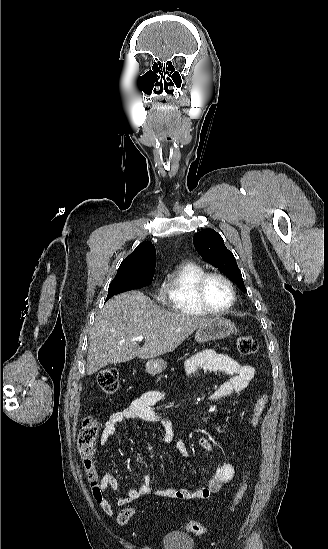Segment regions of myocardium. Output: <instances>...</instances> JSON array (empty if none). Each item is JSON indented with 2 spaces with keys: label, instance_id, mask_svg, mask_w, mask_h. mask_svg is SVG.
<instances>
[{
  "label": "myocardium",
  "instance_id": "f54148a6",
  "mask_svg": "<svg viewBox=\"0 0 328 549\" xmlns=\"http://www.w3.org/2000/svg\"><path fill=\"white\" fill-rule=\"evenodd\" d=\"M212 278H219L223 280L230 288L231 291V301L229 305L224 308L221 311H213L208 308H206L204 305L207 304L205 299V287L209 280ZM195 299L197 301V305H194V309L196 312H198L201 315L204 316H210L213 318H222L227 315H229L232 310L234 309L237 301V290L235 287L234 282L232 279L224 274L223 272L213 270V271H206L196 282L195 285V291H194Z\"/></svg>",
  "mask_w": 328,
  "mask_h": 549
}]
</instances>
